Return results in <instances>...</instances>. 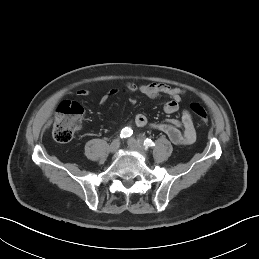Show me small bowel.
I'll list each match as a JSON object with an SVG mask.
<instances>
[{
  "label": "small bowel",
  "instance_id": "small-bowel-1",
  "mask_svg": "<svg viewBox=\"0 0 259 259\" xmlns=\"http://www.w3.org/2000/svg\"><path fill=\"white\" fill-rule=\"evenodd\" d=\"M142 93L150 98L157 99L161 95H167L169 100L163 104V110L167 114H173L179 109V105L186 95V90L180 87L170 86L164 83H144L136 84L127 81L123 88H114L101 97V103H105L110 97L120 93L132 94ZM76 94L79 97H87L90 94L88 89H79ZM134 123L139 127H151L167 135L169 140L178 146H189L196 140V130L192 114L184 110L179 118H171L162 123L150 124L142 113L134 116Z\"/></svg>",
  "mask_w": 259,
  "mask_h": 259
}]
</instances>
